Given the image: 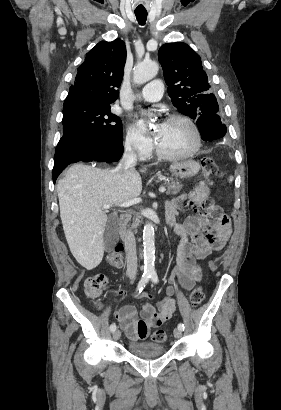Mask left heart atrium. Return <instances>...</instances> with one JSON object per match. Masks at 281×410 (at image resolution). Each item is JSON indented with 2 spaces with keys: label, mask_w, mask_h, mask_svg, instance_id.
<instances>
[{
  "label": "left heart atrium",
  "mask_w": 281,
  "mask_h": 410,
  "mask_svg": "<svg viewBox=\"0 0 281 410\" xmlns=\"http://www.w3.org/2000/svg\"><path fill=\"white\" fill-rule=\"evenodd\" d=\"M161 124H162V123H161ZM161 124H159V125H161ZM140 126L143 127V123H142V122H140ZM157 133H158V130L156 129V132H155L156 136H157Z\"/></svg>",
  "instance_id": "obj_1"
}]
</instances>
